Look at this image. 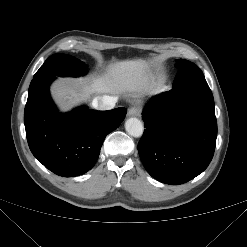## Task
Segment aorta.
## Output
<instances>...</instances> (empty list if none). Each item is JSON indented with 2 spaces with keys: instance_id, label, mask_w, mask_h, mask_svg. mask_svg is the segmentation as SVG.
<instances>
[{
  "instance_id": "762f6f07",
  "label": "aorta",
  "mask_w": 247,
  "mask_h": 247,
  "mask_svg": "<svg viewBox=\"0 0 247 247\" xmlns=\"http://www.w3.org/2000/svg\"><path fill=\"white\" fill-rule=\"evenodd\" d=\"M127 133L133 137H141L144 131L143 123L135 117L129 118L125 122Z\"/></svg>"
}]
</instances>
